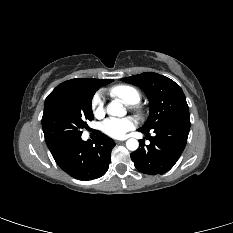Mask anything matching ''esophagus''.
I'll return each instance as SVG.
<instances>
[{"label":"esophagus","mask_w":233,"mask_h":233,"mask_svg":"<svg viewBox=\"0 0 233 233\" xmlns=\"http://www.w3.org/2000/svg\"><path fill=\"white\" fill-rule=\"evenodd\" d=\"M123 141L117 140L116 143L117 144H121Z\"/></svg>","instance_id":"esophagus-1"}]
</instances>
